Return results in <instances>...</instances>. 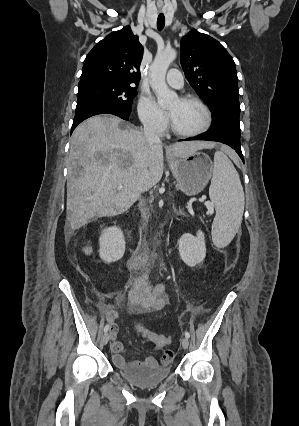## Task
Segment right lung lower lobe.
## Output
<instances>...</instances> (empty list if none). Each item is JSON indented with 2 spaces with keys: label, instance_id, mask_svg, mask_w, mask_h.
I'll return each mask as SVG.
<instances>
[{
  "label": "right lung lower lobe",
  "instance_id": "98d812e1",
  "mask_svg": "<svg viewBox=\"0 0 299 426\" xmlns=\"http://www.w3.org/2000/svg\"><path fill=\"white\" fill-rule=\"evenodd\" d=\"M98 114H112L124 120H128L130 112L123 111L122 109L118 108L113 104L100 100H84L78 102L71 132L83 120Z\"/></svg>",
  "mask_w": 299,
  "mask_h": 426
}]
</instances>
